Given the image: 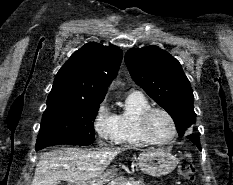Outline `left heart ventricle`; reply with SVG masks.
Returning <instances> with one entry per match:
<instances>
[{
	"mask_svg": "<svg viewBox=\"0 0 233 185\" xmlns=\"http://www.w3.org/2000/svg\"><path fill=\"white\" fill-rule=\"evenodd\" d=\"M149 129L152 136L157 140H166L172 134V125L166 115L160 112L152 114L149 120Z\"/></svg>",
	"mask_w": 233,
	"mask_h": 185,
	"instance_id": "1",
	"label": "left heart ventricle"
}]
</instances>
